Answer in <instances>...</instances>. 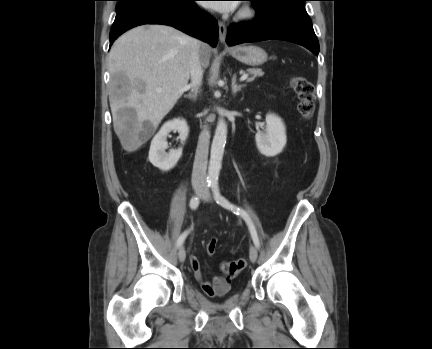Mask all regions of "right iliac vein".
I'll list each match as a JSON object with an SVG mask.
<instances>
[{
    "label": "right iliac vein",
    "mask_w": 432,
    "mask_h": 349,
    "mask_svg": "<svg viewBox=\"0 0 432 349\" xmlns=\"http://www.w3.org/2000/svg\"><path fill=\"white\" fill-rule=\"evenodd\" d=\"M195 193H196L197 195H200V194L202 193V189H201V188H196V189H195ZM178 257H179V260H180V261H184L185 258H186V252H185V248H184L183 246H181V247L179 248V251H178Z\"/></svg>",
    "instance_id": "right-iliac-vein-1"
}]
</instances>
